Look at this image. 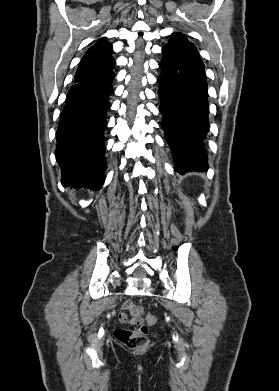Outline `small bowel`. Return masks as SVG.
<instances>
[{
	"mask_svg": "<svg viewBox=\"0 0 279 391\" xmlns=\"http://www.w3.org/2000/svg\"><path fill=\"white\" fill-rule=\"evenodd\" d=\"M119 319L123 323L130 325L143 324L141 309L136 306L131 300H126L122 305V310L119 314Z\"/></svg>",
	"mask_w": 279,
	"mask_h": 391,
	"instance_id": "small-bowel-1",
	"label": "small bowel"
}]
</instances>
